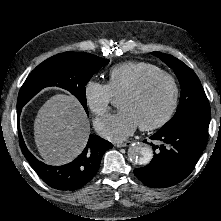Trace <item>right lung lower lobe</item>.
Instances as JSON below:
<instances>
[{"mask_svg": "<svg viewBox=\"0 0 221 221\" xmlns=\"http://www.w3.org/2000/svg\"><path fill=\"white\" fill-rule=\"evenodd\" d=\"M21 110L17 109L18 129ZM19 139L23 155L39 177L50 187L63 191L78 190L91 181L99 169L103 154L112 148L107 140L90 135L84 151L74 161L63 166H50L37 160L27 149L20 129Z\"/></svg>", "mask_w": 221, "mask_h": 221, "instance_id": "right-lung-lower-lobe-1", "label": "right lung lower lobe"}]
</instances>
